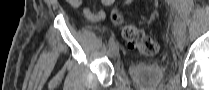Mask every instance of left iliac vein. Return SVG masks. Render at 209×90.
Returning <instances> with one entry per match:
<instances>
[{
  "instance_id": "1",
  "label": "left iliac vein",
  "mask_w": 209,
  "mask_h": 90,
  "mask_svg": "<svg viewBox=\"0 0 209 90\" xmlns=\"http://www.w3.org/2000/svg\"><path fill=\"white\" fill-rule=\"evenodd\" d=\"M179 24H183L181 19H174V24H172V33L173 36H176L177 38L180 36V33L182 32L181 29H179ZM179 48H182V44L179 42L178 44Z\"/></svg>"
}]
</instances>
